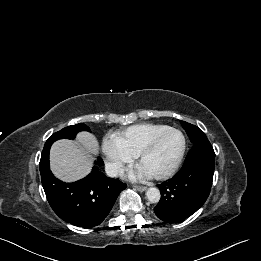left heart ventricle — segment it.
Here are the masks:
<instances>
[{
	"label": "left heart ventricle",
	"instance_id": "b2bd125f",
	"mask_svg": "<svg viewBox=\"0 0 261 261\" xmlns=\"http://www.w3.org/2000/svg\"><path fill=\"white\" fill-rule=\"evenodd\" d=\"M181 147L178 134L169 132L161 137L155 148L140 163L152 175L167 170L175 161Z\"/></svg>",
	"mask_w": 261,
	"mask_h": 261
}]
</instances>
